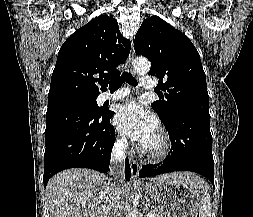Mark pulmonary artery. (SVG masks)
Returning <instances> with one entry per match:
<instances>
[{
	"label": "pulmonary artery",
	"instance_id": "pulmonary-artery-1",
	"mask_svg": "<svg viewBox=\"0 0 253 217\" xmlns=\"http://www.w3.org/2000/svg\"><path fill=\"white\" fill-rule=\"evenodd\" d=\"M141 87L145 89H153L156 86V83L150 76H143L141 77L140 81ZM129 94V90L127 89H121L118 90L117 92H114L112 94L110 93H103L100 96V101L101 102H106V101H112V100H118L121 99Z\"/></svg>",
	"mask_w": 253,
	"mask_h": 217
}]
</instances>
